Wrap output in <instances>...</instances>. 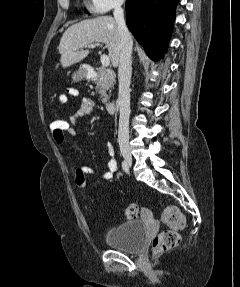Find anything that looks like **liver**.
I'll return each mask as SVG.
<instances>
[{"label":"liver","mask_w":240,"mask_h":287,"mask_svg":"<svg viewBox=\"0 0 240 287\" xmlns=\"http://www.w3.org/2000/svg\"><path fill=\"white\" fill-rule=\"evenodd\" d=\"M101 42L106 45L112 65L119 63V32L115 19L100 16L70 26L63 34L58 46L63 68L82 61L89 54L84 47ZM76 49V50H75Z\"/></svg>","instance_id":"1"}]
</instances>
